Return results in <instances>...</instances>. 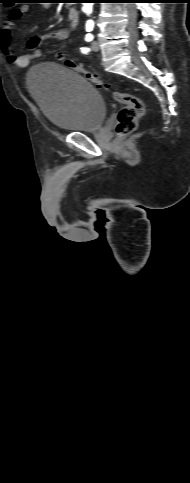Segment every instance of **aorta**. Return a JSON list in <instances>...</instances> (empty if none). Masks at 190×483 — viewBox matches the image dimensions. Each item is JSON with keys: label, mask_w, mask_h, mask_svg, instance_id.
<instances>
[{"label": "aorta", "mask_w": 190, "mask_h": 483, "mask_svg": "<svg viewBox=\"0 0 190 483\" xmlns=\"http://www.w3.org/2000/svg\"><path fill=\"white\" fill-rule=\"evenodd\" d=\"M92 8H93V3H83L82 10L87 15H90L92 13Z\"/></svg>", "instance_id": "aorta-1"}]
</instances>
